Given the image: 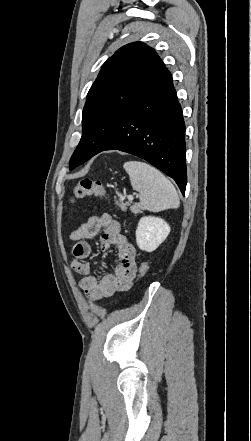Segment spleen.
Returning a JSON list of instances; mask_svg holds the SVG:
<instances>
[{
  "instance_id": "1",
  "label": "spleen",
  "mask_w": 251,
  "mask_h": 441,
  "mask_svg": "<svg viewBox=\"0 0 251 441\" xmlns=\"http://www.w3.org/2000/svg\"><path fill=\"white\" fill-rule=\"evenodd\" d=\"M123 168L129 175L132 188L139 192L144 209L159 212L179 207L175 187L159 170L141 161H127Z\"/></svg>"
}]
</instances>
